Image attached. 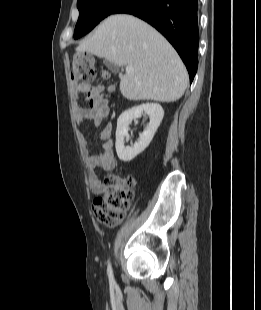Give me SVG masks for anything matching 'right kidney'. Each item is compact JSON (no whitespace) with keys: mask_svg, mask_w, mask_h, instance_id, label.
Listing matches in <instances>:
<instances>
[{"mask_svg":"<svg viewBox=\"0 0 261 310\" xmlns=\"http://www.w3.org/2000/svg\"><path fill=\"white\" fill-rule=\"evenodd\" d=\"M149 116V124L147 128L140 134L139 141L133 146L124 145L125 138L128 137V126L133 120L140 118L142 115ZM164 116L163 108L157 103H146L135 106L124 111L117 120L116 129V152L121 161L129 162L138 154L143 152L152 141Z\"/></svg>","mask_w":261,"mask_h":310,"instance_id":"ca27d5eb","label":"right kidney"}]
</instances>
